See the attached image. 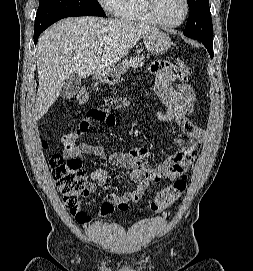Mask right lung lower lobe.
Wrapping results in <instances>:
<instances>
[{
	"instance_id": "obj_1",
	"label": "right lung lower lobe",
	"mask_w": 253,
	"mask_h": 271,
	"mask_svg": "<svg viewBox=\"0 0 253 271\" xmlns=\"http://www.w3.org/2000/svg\"><path fill=\"white\" fill-rule=\"evenodd\" d=\"M43 31H44V30L34 32V42H35V44L37 43L38 37L40 36V34H41Z\"/></svg>"
}]
</instances>
